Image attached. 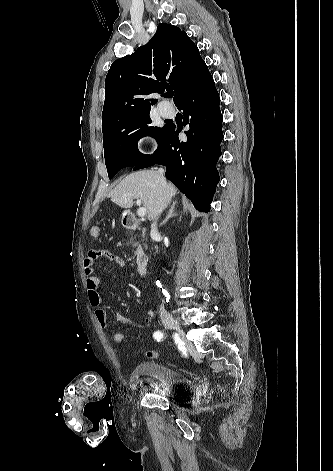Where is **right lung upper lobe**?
I'll return each mask as SVG.
<instances>
[{
    "label": "right lung upper lobe",
    "instance_id": "1",
    "mask_svg": "<svg viewBox=\"0 0 333 471\" xmlns=\"http://www.w3.org/2000/svg\"><path fill=\"white\" fill-rule=\"evenodd\" d=\"M208 73L197 46L180 28L161 23L152 39L114 61L105 80L102 129L150 111L157 99L144 95L175 90L174 102Z\"/></svg>",
    "mask_w": 333,
    "mask_h": 471
}]
</instances>
